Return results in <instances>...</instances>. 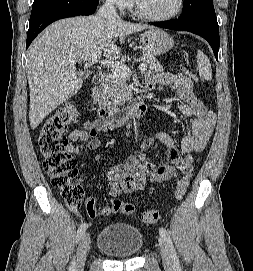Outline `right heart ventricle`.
<instances>
[{"mask_svg":"<svg viewBox=\"0 0 253 271\" xmlns=\"http://www.w3.org/2000/svg\"><path fill=\"white\" fill-rule=\"evenodd\" d=\"M131 3H132V0H130V2H129V4H128V6H131Z\"/></svg>","mask_w":253,"mask_h":271,"instance_id":"1","label":"right heart ventricle"}]
</instances>
